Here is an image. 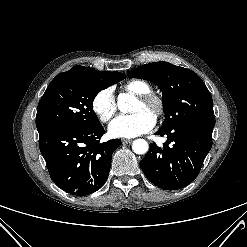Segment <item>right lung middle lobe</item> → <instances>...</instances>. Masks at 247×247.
<instances>
[{
    "label": "right lung middle lobe",
    "mask_w": 247,
    "mask_h": 247,
    "mask_svg": "<svg viewBox=\"0 0 247 247\" xmlns=\"http://www.w3.org/2000/svg\"><path fill=\"white\" fill-rule=\"evenodd\" d=\"M125 77H96L67 71L49 84L37 108L36 126L40 134L63 127L89 128L100 122L93 111L99 91Z\"/></svg>",
    "instance_id": "1"
}]
</instances>
